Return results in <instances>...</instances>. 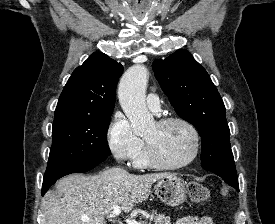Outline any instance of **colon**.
<instances>
[{
  "label": "colon",
  "instance_id": "obj_1",
  "mask_svg": "<svg viewBox=\"0 0 275 224\" xmlns=\"http://www.w3.org/2000/svg\"><path fill=\"white\" fill-rule=\"evenodd\" d=\"M188 191L190 199L194 204H203L210 198L208 188L197 182H190L188 184Z\"/></svg>",
  "mask_w": 275,
  "mask_h": 224
}]
</instances>
